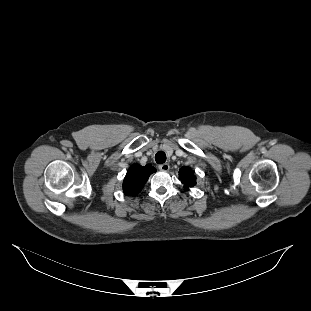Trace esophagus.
Instances as JSON below:
<instances>
[{
    "label": "esophagus",
    "mask_w": 311,
    "mask_h": 311,
    "mask_svg": "<svg viewBox=\"0 0 311 311\" xmlns=\"http://www.w3.org/2000/svg\"><path fill=\"white\" fill-rule=\"evenodd\" d=\"M158 168L161 171H168L170 169V165L168 163H163L159 165Z\"/></svg>",
    "instance_id": "obj_1"
}]
</instances>
